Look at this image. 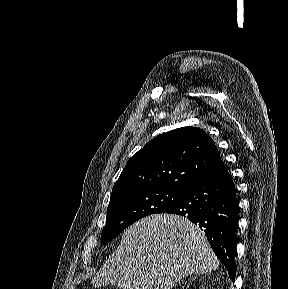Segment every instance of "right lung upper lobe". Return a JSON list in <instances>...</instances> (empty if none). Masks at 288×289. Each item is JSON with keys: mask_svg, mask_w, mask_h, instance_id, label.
Returning a JSON list of instances; mask_svg holds the SVG:
<instances>
[{"mask_svg": "<svg viewBox=\"0 0 288 289\" xmlns=\"http://www.w3.org/2000/svg\"><path fill=\"white\" fill-rule=\"evenodd\" d=\"M220 162L215 143L205 131L175 129L155 137L128 160L112 195L132 189H186Z\"/></svg>", "mask_w": 288, "mask_h": 289, "instance_id": "1", "label": "right lung upper lobe"}]
</instances>
